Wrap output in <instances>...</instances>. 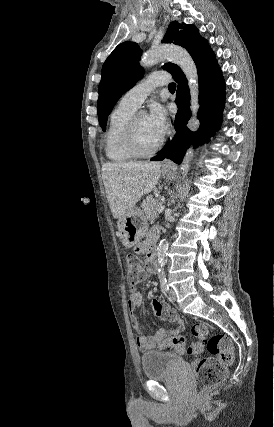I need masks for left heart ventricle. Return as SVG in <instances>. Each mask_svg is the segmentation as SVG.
Wrapping results in <instances>:
<instances>
[{"label": "left heart ventricle", "mask_w": 274, "mask_h": 427, "mask_svg": "<svg viewBox=\"0 0 274 427\" xmlns=\"http://www.w3.org/2000/svg\"><path fill=\"white\" fill-rule=\"evenodd\" d=\"M162 139L153 132L148 123V118L145 113H141L136 125V144L141 152L151 151Z\"/></svg>", "instance_id": "1"}]
</instances>
